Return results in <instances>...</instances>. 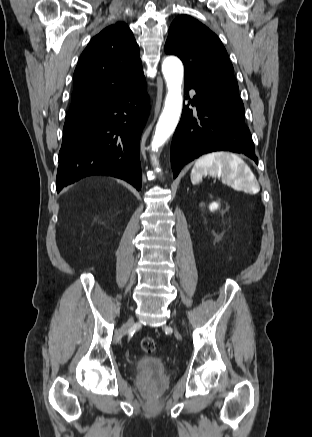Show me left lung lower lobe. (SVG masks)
<instances>
[{"label":"left lung lower lobe","mask_w":312,"mask_h":437,"mask_svg":"<svg viewBox=\"0 0 312 437\" xmlns=\"http://www.w3.org/2000/svg\"><path fill=\"white\" fill-rule=\"evenodd\" d=\"M191 88L196 91V96L190 102L196 106L197 114L188 106H183L181 120L171 144L174 178L185 164L213 151L242 153L258 164L245 119L234 112L225 101L205 94L185 81L184 92Z\"/></svg>","instance_id":"0a47b994"}]
</instances>
